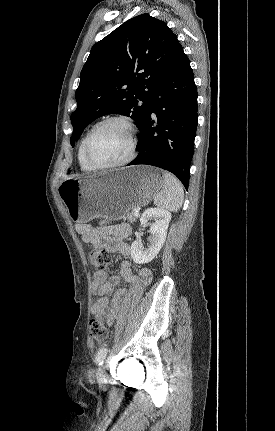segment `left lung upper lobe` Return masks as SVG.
I'll use <instances>...</instances> for the list:
<instances>
[{"label":"left lung upper lobe","mask_w":275,"mask_h":431,"mask_svg":"<svg viewBox=\"0 0 275 431\" xmlns=\"http://www.w3.org/2000/svg\"><path fill=\"white\" fill-rule=\"evenodd\" d=\"M179 47L165 22L146 13L126 21L96 43L81 70L75 93L72 147L84 128L103 115L131 117L140 130L156 87Z\"/></svg>","instance_id":"1"}]
</instances>
